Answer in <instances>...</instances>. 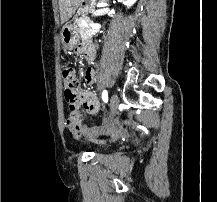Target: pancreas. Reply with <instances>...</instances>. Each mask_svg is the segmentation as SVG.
Returning <instances> with one entry per match:
<instances>
[{
  "label": "pancreas",
  "instance_id": "cf45deb5",
  "mask_svg": "<svg viewBox=\"0 0 217 202\" xmlns=\"http://www.w3.org/2000/svg\"><path fill=\"white\" fill-rule=\"evenodd\" d=\"M85 22H88L89 18H83ZM75 30H78L79 34H81V40H86L87 38H90L89 35H94V30H89V28H85V26H82L81 20H76V26H74Z\"/></svg>",
  "mask_w": 217,
  "mask_h": 202
}]
</instances>
